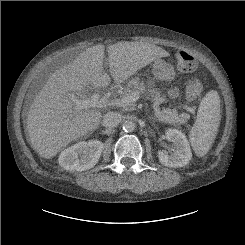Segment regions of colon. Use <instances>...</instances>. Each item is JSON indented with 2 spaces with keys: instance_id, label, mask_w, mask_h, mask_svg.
<instances>
[{
  "instance_id": "1",
  "label": "colon",
  "mask_w": 245,
  "mask_h": 245,
  "mask_svg": "<svg viewBox=\"0 0 245 245\" xmlns=\"http://www.w3.org/2000/svg\"><path fill=\"white\" fill-rule=\"evenodd\" d=\"M176 65L179 71L189 73L195 70L197 63L191 52L186 48H182L176 52ZM202 90V82L197 78L188 79L184 84L186 98L190 101L197 100Z\"/></svg>"
}]
</instances>
